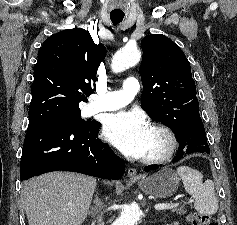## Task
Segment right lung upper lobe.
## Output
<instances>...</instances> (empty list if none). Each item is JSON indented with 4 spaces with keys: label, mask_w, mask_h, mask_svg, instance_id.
<instances>
[{
    "label": "right lung upper lobe",
    "mask_w": 237,
    "mask_h": 225,
    "mask_svg": "<svg viewBox=\"0 0 237 225\" xmlns=\"http://www.w3.org/2000/svg\"><path fill=\"white\" fill-rule=\"evenodd\" d=\"M105 56V46L95 44L82 28L46 39L34 69L29 122L80 111L79 102L93 92L91 83Z\"/></svg>",
    "instance_id": "cb5924a9"
}]
</instances>
